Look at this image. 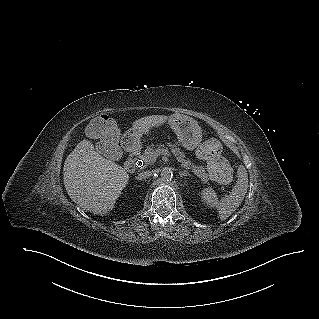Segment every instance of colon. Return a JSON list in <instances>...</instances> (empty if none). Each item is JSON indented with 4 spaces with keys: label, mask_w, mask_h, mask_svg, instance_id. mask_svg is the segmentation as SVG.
Listing matches in <instances>:
<instances>
[{
    "label": "colon",
    "mask_w": 319,
    "mask_h": 319,
    "mask_svg": "<svg viewBox=\"0 0 319 319\" xmlns=\"http://www.w3.org/2000/svg\"><path fill=\"white\" fill-rule=\"evenodd\" d=\"M86 133L101 140L103 149L111 151L113 159L120 160L123 158V149L116 147L121 142L122 136L112 123L110 116L103 114L97 117L86 128ZM200 152L207 161L211 177L219 183L228 182L231 178L230 168L222 156V145L219 140L214 137L209 138L200 147Z\"/></svg>",
    "instance_id": "5ec220e1"
}]
</instances>
